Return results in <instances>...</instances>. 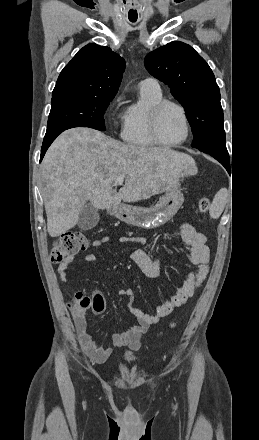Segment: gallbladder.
Instances as JSON below:
<instances>
[{"mask_svg":"<svg viewBox=\"0 0 259 440\" xmlns=\"http://www.w3.org/2000/svg\"><path fill=\"white\" fill-rule=\"evenodd\" d=\"M100 219L99 211L90 203L86 204L79 215L77 226L81 230H90L94 228Z\"/></svg>","mask_w":259,"mask_h":440,"instance_id":"gallbladder-1","label":"gallbladder"}]
</instances>
